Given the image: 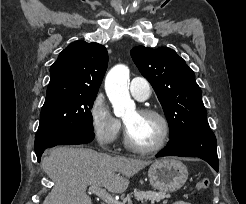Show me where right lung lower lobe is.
I'll return each instance as SVG.
<instances>
[{"label": "right lung lower lobe", "mask_w": 246, "mask_h": 204, "mask_svg": "<svg viewBox=\"0 0 246 204\" xmlns=\"http://www.w3.org/2000/svg\"><path fill=\"white\" fill-rule=\"evenodd\" d=\"M94 133L92 131H82L79 130L75 132L73 135L65 138L63 141H61L58 145H74V144H85L89 143L93 140ZM45 149H39L36 152V156L38 161L41 159V155L44 152Z\"/></svg>", "instance_id": "98d812e1"}]
</instances>
